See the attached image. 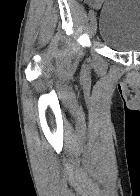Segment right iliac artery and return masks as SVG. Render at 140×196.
<instances>
[{
  "instance_id": "obj_1",
  "label": "right iliac artery",
  "mask_w": 140,
  "mask_h": 196,
  "mask_svg": "<svg viewBox=\"0 0 140 196\" xmlns=\"http://www.w3.org/2000/svg\"><path fill=\"white\" fill-rule=\"evenodd\" d=\"M93 15H94V11L93 10L89 11V14H88L89 18H91Z\"/></svg>"
}]
</instances>
